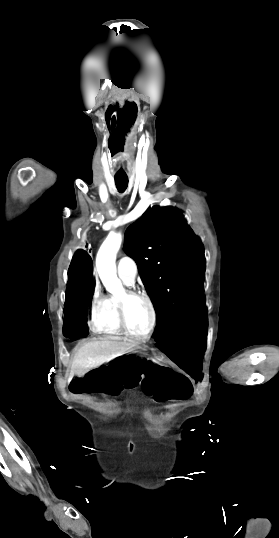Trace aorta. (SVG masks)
Listing matches in <instances>:
<instances>
[{
	"instance_id": "aorta-1",
	"label": "aorta",
	"mask_w": 279,
	"mask_h": 538,
	"mask_svg": "<svg viewBox=\"0 0 279 538\" xmlns=\"http://www.w3.org/2000/svg\"><path fill=\"white\" fill-rule=\"evenodd\" d=\"M121 243L122 236L120 233H109L96 257L99 277L106 290L115 297H121L125 293L123 285L117 277L115 264Z\"/></svg>"
}]
</instances>
